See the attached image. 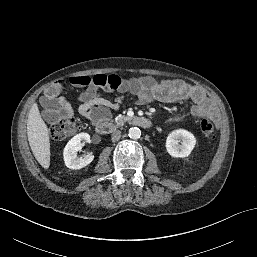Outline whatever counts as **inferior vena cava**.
<instances>
[{
	"mask_svg": "<svg viewBox=\"0 0 257 257\" xmlns=\"http://www.w3.org/2000/svg\"><path fill=\"white\" fill-rule=\"evenodd\" d=\"M120 138H121V131L115 130V131L112 133V136H111L112 141H113V142H116V141H118Z\"/></svg>",
	"mask_w": 257,
	"mask_h": 257,
	"instance_id": "1",
	"label": "inferior vena cava"
}]
</instances>
